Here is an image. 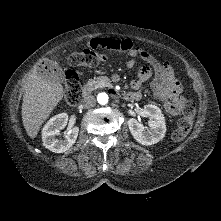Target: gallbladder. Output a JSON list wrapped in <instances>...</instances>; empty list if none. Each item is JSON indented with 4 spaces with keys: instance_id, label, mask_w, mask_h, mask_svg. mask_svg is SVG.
<instances>
[{
    "instance_id": "obj_1",
    "label": "gallbladder",
    "mask_w": 221,
    "mask_h": 221,
    "mask_svg": "<svg viewBox=\"0 0 221 221\" xmlns=\"http://www.w3.org/2000/svg\"><path fill=\"white\" fill-rule=\"evenodd\" d=\"M38 75L42 79L60 84L64 83L66 80L63 70L59 68L56 64H53L50 69L40 67V69L38 70Z\"/></svg>"
}]
</instances>
